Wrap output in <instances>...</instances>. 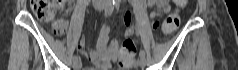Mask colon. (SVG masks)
<instances>
[{"mask_svg": "<svg viewBox=\"0 0 238 70\" xmlns=\"http://www.w3.org/2000/svg\"><path fill=\"white\" fill-rule=\"evenodd\" d=\"M64 1L61 0H32L31 8L34 14L40 20L49 21L51 20L58 8L63 5ZM177 7H184L186 0H176ZM179 24V18L177 14H171L167 17L162 24V31L166 34L174 31ZM157 24H155L156 26ZM132 33H125L122 36V41L119 49V54L115 55L118 60V64L121 69H128L133 65V56L136 52L135 44L132 41Z\"/></svg>", "mask_w": 238, "mask_h": 70, "instance_id": "1", "label": "colon"}]
</instances>
